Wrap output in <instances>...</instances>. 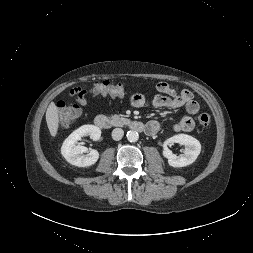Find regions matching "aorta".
Returning a JSON list of instances; mask_svg holds the SVG:
<instances>
[{
	"mask_svg": "<svg viewBox=\"0 0 253 253\" xmlns=\"http://www.w3.org/2000/svg\"><path fill=\"white\" fill-rule=\"evenodd\" d=\"M127 140L130 142H136L139 139V134L137 131L130 130L127 132Z\"/></svg>",
	"mask_w": 253,
	"mask_h": 253,
	"instance_id": "1",
	"label": "aorta"
}]
</instances>
